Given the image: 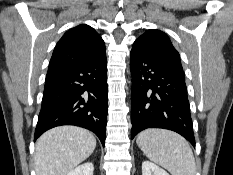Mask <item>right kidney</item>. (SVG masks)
Here are the masks:
<instances>
[{
	"label": "right kidney",
	"instance_id": "ca27d5eb",
	"mask_svg": "<svg viewBox=\"0 0 233 175\" xmlns=\"http://www.w3.org/2000/svg\"><path fill=\"white\" fill-rule=\"evenodd\" d=\"M94 166L92 162H87L77 166L71 170L67 175H93Z\"/></svg>",
	"mask_w": 233,
	"mask_h": 175
}]
</instances>
